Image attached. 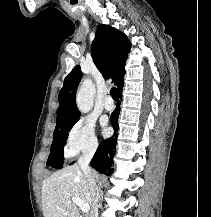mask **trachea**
I'll list each match as a JSON object with an SVG mask.
<instances>
[{
  "label": "trachea",
  "mask_w": 211,
  "mask_h": 217,
  "mask_svg": "<svg viewBox=\"0 0 211 217\" xmlns=\"http://www.w3.org/2000/svg\"><path fill=\"white\" fill-rule=\"evenodd\" d=\"M110 94H111L112 98H113L115 101H118L119 95H118V91H117L116 87H113V88L110 90Z\"/></svg>",
  "instance_id": "1"
}]
</instances>
